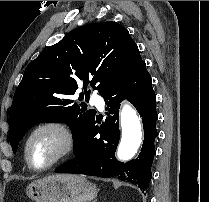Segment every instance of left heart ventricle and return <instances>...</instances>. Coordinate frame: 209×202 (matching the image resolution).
Segmentation results:
<instances>
[{"label": "left heart ventricle", "instance_id": "obj_1", "mask_svg": "<svg viewBox=\"0 0 209 202\" xmlns=\"http://www.w3.org/2000/svg\"><path fill=\"white\" fill-rule=\"evenodd\" d=\"M59 147L58 135L52 131L38 133L30 142V156L34 165L41 167L51 161Z\"/></svg>", "mask_w": 209, "mask_h": 202}]
</instances>
